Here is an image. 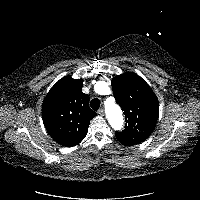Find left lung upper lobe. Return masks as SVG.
<instances>
[{
	"label": "left lung upper lobe",
	"mask_w": 200,
	"mask_h": 200,
	"mask_svg": "<svg viewBox=\"0 0 200 200\" xmlns=\"http://www.w3.org/2000/svg\"><path fill=\"white\" fill-rule=\"evenodd\" d=\"M116 102L124 111L125 130L116 138L126 146L143 142L153 131L159 115V103L149 85L135 73H124L112 80Z\"/></svg>",
	"instance_id": "5c2ea615"
}]
</instances>
